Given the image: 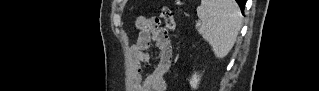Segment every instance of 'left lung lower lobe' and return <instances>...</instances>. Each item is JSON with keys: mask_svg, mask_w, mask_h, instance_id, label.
<instances>
[{"mask_svg": "<svg viewBox=\"0 0 319 91\" xmlns=\"http://www.w3.org/2000/svg\"><path fill=\"white\" fill-rule=\"evenodd\" d=\"M236 2L239 4V7L241 8V12H244V7H245V0H236Z\"/></svg>", "mask_w": 319, "mask_h": 91, "instance_id": "obj_1", "label": "left lung lower lobe"}]
</instances>
